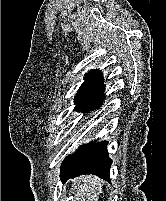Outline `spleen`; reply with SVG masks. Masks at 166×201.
<instances>
[{
    "instance_id": "3e777b00",
    "label": "spleen",
    "mask_w": 166,
    "mask_h": 201,
    "mask_svg": "<svg viewBox=\"0 0 166 201\" xmlns=\"http://www.w3.org/2000/svg\"><path fill=\"white\" fill-rule=\"evenodd\" d=\"M77 186L74 201H98L102 193V185L97 177H81L77 180Z\"/></svg>"
}]
</instances>
